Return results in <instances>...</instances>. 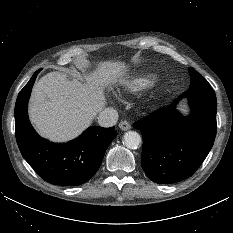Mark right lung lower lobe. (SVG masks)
Instances as JSON below:
<instances>
[{
    "instance_id": "right-lung-lower-lobe-1",
    "label": "right lung lower lobe",
    "mask_w": 233,
    "mask_h": 233,
    "mask_svg": "<svg viewBox=\"0 0 233 233\" xmlns=\"http://www.w3.org/2000/svg\"><path fill=\"white\" fill-rule=\"evenodd\" d=\"M36 71L20 91L15 105V134L24 159L45 181L75 186L87 182L100 167L105 151L116 137L115 127H89L68 143H51L33 129L27 113Z\"/></svg>"
}]
</instances>
